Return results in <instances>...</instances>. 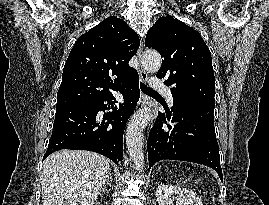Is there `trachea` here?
<instances>
[{
  "mask_svg": "<svg viewBox=\"0 0 269 205\" xmlns=\"http://www.w3.org/2000/svg\"><path fill=\"white\" fill-rule=\"evenodd\" d=\"M140 88L141 90L145 93V94H148V95H151V94H159L158 92L150 89L149 87H147L145 84L143 83H140Z\"/></svg>",
  "mask_w": 269,
  "mask_h": 205,
  "instance_id": "obj_1",
  "label": "trachea"
}]
</instances>
